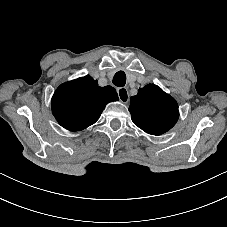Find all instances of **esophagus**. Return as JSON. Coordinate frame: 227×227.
Masks as SVG:
<instances>
[{
	"label": "esophagus",
	"instance_id": "esophagus-1",
	"mask_svg": "<svg viewBox=\"0 0 227 227\" xmlns=\"http://www.w3.org/2000/svg\"><path fill=\"white\" fill-rule=\"evenodd\" d=\"M118 93L119 100L122 103H127L129 101V91L125 87H120L116 89Z\"/></svg>",
	"mask_w": 227,
	"mask_h": 227
}]
</instances>
